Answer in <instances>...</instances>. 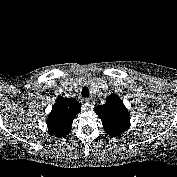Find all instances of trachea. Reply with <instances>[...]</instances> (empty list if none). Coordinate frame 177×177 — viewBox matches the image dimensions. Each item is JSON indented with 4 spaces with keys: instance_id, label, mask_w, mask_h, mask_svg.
Listing matches in <instances>:
<instances>
[{
    "instance_id": "trachea-1",
    "label": "trachea",
    "mask_w": 177,
    "mask_h": 177,
    "mask_svg": "<svg viewBox=\"0 0 177 177\" xmlns=\"http://www.w3.org/2000/svg\"><path fill=\"white\" fill-rule=\"evenodd\" d=\"M89 88L88 87H84L83 89H82V92H81V95H82V97H84V98H87V97H89Z\"/></svg>"
}]
</instances>
